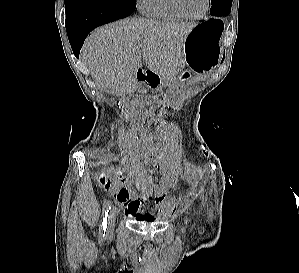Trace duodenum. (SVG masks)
I'll use <instances>...</instances> for the list:
<instances>
[{
  "label": "duodenum",
  "instance_id": "1",
  "mask_svg": "<svg viewBox=\"0 0 299 273\" xmlns=\"http://www.w3.org/2000/svg\"><path fill=\"white\" fill-rule=\"evenodd\" d=\"M136 80L149 86L150 83L156 80V76L150 70L138 69L136 71Z\"/></svg>",
  "mask_w": 299,
  "mask_h": 273
}]
</instances>
